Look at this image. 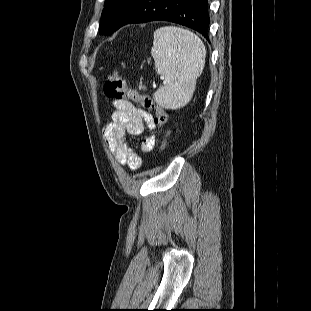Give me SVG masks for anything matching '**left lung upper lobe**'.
Masks as SVG:
<instances>
[{
    "instance_id": "left-lung-upper-lobe-1",
    "label": "left lung upper lobe",
    "mask_w": 311,
    "mask_h": 311,
    "mask_svg": "<svg viewBox=\"0 0 311 311\" xmlns=\"http://www.w3.org/2000/svg\"><path fill=\"white\" fill-rule=\"evenodd\" d=\"M130 0H106L102 12L99 31L103 34H111L116 26L117 20Z\"/></svg>"
}]
</instances>
